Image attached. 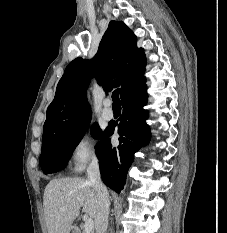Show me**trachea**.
<instances>
[{
  "mask_svg": "<svg viewBox=\"0 0 227 233\" xmlns=\"http://www.w3.org/2000/svg\"><path fill=\"white\" fill-rule=\"evenodd\" d=\"M112 100H113V106L120 105V100H119V89H116L112 93Z\"/></svg>",
  "mask_w": 227,
  "mask_h": 233,
  "instance_id": "obj_1",
  "label": "trachea"
}]
</instances>
